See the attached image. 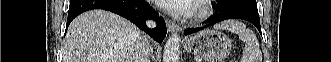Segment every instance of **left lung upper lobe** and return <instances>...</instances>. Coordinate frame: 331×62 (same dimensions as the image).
<instances>
[{
  "instance_id": "obj_1",
  "label": "left lung upper lobe",
  "mask_w": 331,
  "mask_h": 62,
  "mask_svg": "<svg viewBox=\"0 0 331 62\" xmlns=\"http://www.w3.org/2000/svg\"><path fill=\"white\" fill-rule=\"evenodd\" d=\"M234 2H244V3L250 4V5L257 6L256 0H216L218 8L225 7L228 4L234 3Z\"/></svg>"
}]
</instances>
